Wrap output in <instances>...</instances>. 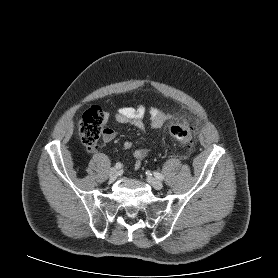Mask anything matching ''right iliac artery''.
<instances>
[{
  "label": "right iliac artery",
  "instance_id": "1",
  "mask_svg": "<svg viewBox=\"0 0 278 278\" xmlns=\"http://www.w3.org/2000/svg\"><path fill=\"white\" fill-rule=\"evenodd\" d=\"M116 169H120L122 167V164L120 162L116 163L115 165Z\"/></svg>",
  "mask_w": 278,
  "mask_h": 278
}]
</instances>
